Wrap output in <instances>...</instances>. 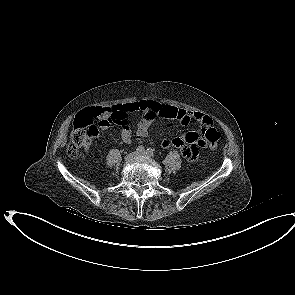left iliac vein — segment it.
<instances>
[{"label": "left iliac vein", "mask_w": 295, "mask_h": 295, "mask_svg": "<svg viewBox=\"0 0 295 295\" xmlns=\"http://www.w3.org/2000/svg\"><path fill=\"white\" fill-rule=\"evenodd\" d=\"M137 156L138 157H144V158H148L149 157V155L146 152L138 153Z\"/></svg>", "instance_id": "1"}]
</instances>
